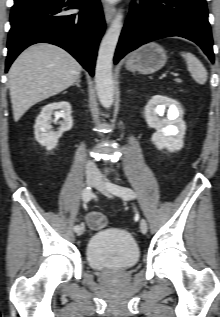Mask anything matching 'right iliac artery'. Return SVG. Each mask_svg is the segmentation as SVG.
<instances>
[{
    "mask_svg": "<svg viewBox=\"0 0 220 317\" xmlns=\"http://www.w3.org/2000/svg\"><path fill=\"white\" fill-rule=\"evenodd\" d=\"M91 197H92V191H91V187H86L84 190H83V193H82V199L85 203L89 202L91 200ZM82 225V224H81ZM81 225H76L74 226V231H78L80 229V226Z\"/></svg>",
    "mask_w": 220,
    "mask_h": 317,
    "instance_id": "82829eb1",
    "label": "right iliac artery"
}]
</instances>
